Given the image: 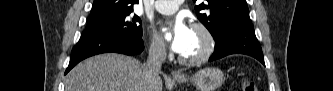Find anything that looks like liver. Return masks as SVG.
Returning <instances> with one entry per match:
<instances>
[{
  "label": "liver",
  "mask_w": 333,
  "mask_h": 91,
  "mask_svg": "<svg viewBox=\"0 0 333 91\" xmlns=\"http://www.w3.org/2000/svg\"><path fill=\"white\" fill-rule=\"evenodd\" d=\"M65 91H162V80L147 79L135 58L108 53L86 59L67 75Z\"/></svg>",
  "instance_id": "obj_1"
}]
</instances>
